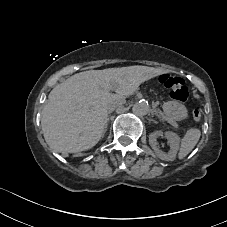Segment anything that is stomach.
Returning <instances> with one entry per match:
<instances>
[{
	"label": "stomach",
	"instance_id": "1",
	"mask_svg": "<svg viewBox=\"0 0 227 227\" xmlns=\"http://www.w3.org/2000/svg\"><path fill=\"white\" fill-rule=\"evenodd\" d=\"M162 108L165 115L171 120L180 121L187 117L185 106L177 101H167Z\"/></svg>",
	"mask_w": 227,
	"mask_h": 227
}]
</instances>
